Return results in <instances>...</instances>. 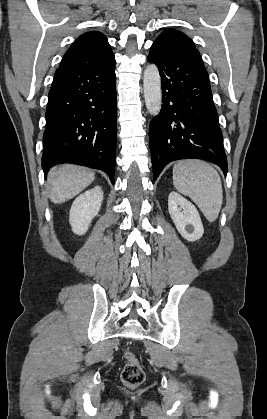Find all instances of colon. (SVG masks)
<instances>
[{
	"label": "colon",
	"mask_w": 267,
	"mask_h": 419,
	"mask_svg": "<svg viewBox=\"0 0 267 419\" xmlns=\"http://www.w3.org/2000/svg\"><path fill=\"white\" fill-rule=\"evenodd\" d=\"M125 365L121 372L122 382L128 387H137L145 379V372L137 359L130 351L124 352Z\"/></svg>",
	"instance_id": "1"
}]
</instances>
